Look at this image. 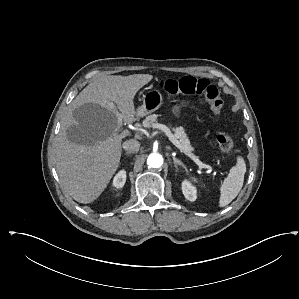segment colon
<instances>
[{
	"label": "colon",
	"mask_w": 299,
	"mask_h": 299,
	"mask_svg": "<svg viewBox=\"0 0 299 299\" xmlns=\"http://www.w3.org/2000/svg\"><path fill=\"white\" fill-rule=\"evenodd\" d=\"M160 87L170 94L200 95L209 102L212 112L219 116L222 112L223 101L219 89L205 78L186 76L180 79H165ZM218 145L226 156L233 152L232 135L225 129L219 131L217 136Z\"/></svg>",
	"instance_id": "1"
}]
</instances>
